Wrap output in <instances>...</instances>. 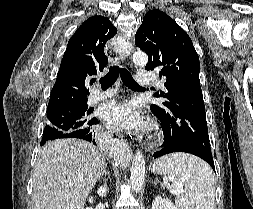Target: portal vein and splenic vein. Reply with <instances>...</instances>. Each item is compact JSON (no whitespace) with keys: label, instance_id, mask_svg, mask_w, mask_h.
<instances>
[{"label":"portal vein and splenic vein","instance_id":"obj_1","mask_svg":"<svg viewBox=\"0 0 253 209\" xmlns=\"http://www.w3.org/2000/svg\"><path fill=\"white\" fill-rule=\"evenodd\" d=\"M164 184L167 185L169 187V183L167 182L166 179L163 180ZM181 190L180 189H170V192L172 194H178Z\"/></svg>","mask_w":253,"mask_h":209}]
</instances>
